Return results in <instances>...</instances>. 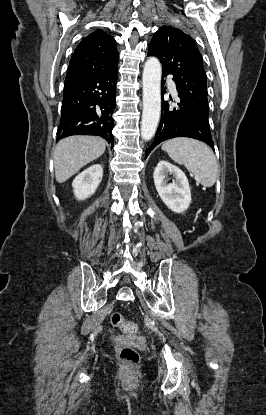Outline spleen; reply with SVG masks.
<instances>
[{
	"mask_svg": "<svg viewBox=\"0 0 266 415\" xmlns=\"http://www.w3.org/2000/svg\"><path fill=\"white\" fill-rule=\"evenodd\" d=\"M162 150L180 165H184L204 187H212L219 174L218 163L213 151L203 142L190 138L166 141Z\"/></svg>",
	"mask_w": 266,
	"mask_h": 415,
	"instance_id": "1",
	"label": "spleen"
}]
</instances>
